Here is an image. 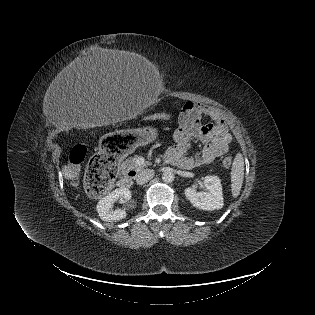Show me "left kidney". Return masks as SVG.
Here are the masks:
<instances>
[{
    "instance_id": "obj_1",
    "label": "left kidney",
    "mask_w": 315,
    "mask_h": 315,
    "mask_svg": "<svg viewBox=\"0 0 315 315\" xmlns=\"http://www.w3.org/2000/svg\"><path fill=\"white\" fill-rule=\"evenodd\" d=\"M205 192H197L188 187L185 196L191 204L201 210H219L223 207V193L221 180L217 176H206L204 178Z\"/></svg>"
}]
</instances>
